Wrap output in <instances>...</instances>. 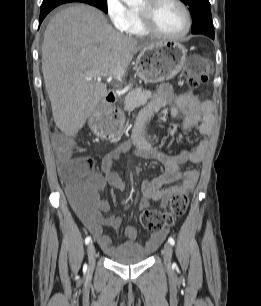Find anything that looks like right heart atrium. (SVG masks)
Masks as SVG:
<instances>
[{
	"label": "right heart atrium",
	"mask_w": 261,
	"mask_h": 306,
	"mask_svg": "<svg viewBox=\"0 0 261 306\" xmlns=\"http://www.w3.org/2000/svg\"><path fill=\"white\" fill-rule=\"evenodd\" d=\"M105 8L114 28L126 31L130 21V10L123 0H105Z\"/></svg>",
	"instance_id": "obj_1"
}]
</instances>
